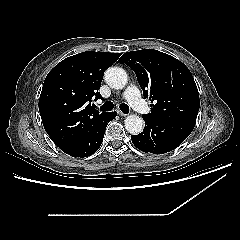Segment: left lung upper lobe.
<instances>
[{
  "instance_id": "5c2ea615",
  "label": "left lung upper lobe",
  "mask_w": 240,
  "mask_h": 240,
  "mask_svg": "<svg viewBox=\"0 0 240 240\" xmlns=\"http://www.w3.org/2000/svg\"><path fill=\"white\" fill-rule=\"evenodd\" d=\"M119 61L134 70L144 97L151 100V113L143 117L196 120L200 107L198 89L181 61L153 49L127 52Z\"/></svg>"
}]
</instances>
